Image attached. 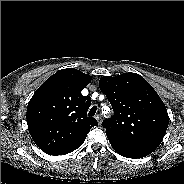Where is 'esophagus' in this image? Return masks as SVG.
<instances>
[{
    "label": "esophagus",
    "mask_w": 184,
    "mask_h": 184,
    "mask_svg": "<svg viewBox=\"0 0 184 184\" xmlns=\"http://www.w3.org/2000/svg\"><path fill=\"white\" fill-rule=\"evenodd\" d=\"M95 118H96V120L98 121V123L101 124V122H102V117H101V115L98 114V115L95 116Z\"/></svg>",
    "instance_id": "34e87169"
}]
</instances>
